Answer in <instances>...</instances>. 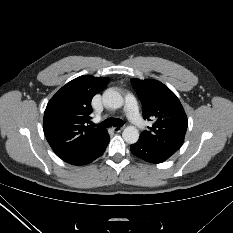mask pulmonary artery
Segmentation results:
<instances>
[{
  "label": "pulmonary artery",
  "mask_w": 233,
  "mask_h": 233,
  "mask_svg": "<svg viewBox=\"0 0 233 233\" xmlns=\"http://www.w3.org/2000/svg\"><path fill=\"white\" fill-rule=\"evenodd\" d=\"M125 110L133 125L136 127H142L144 125V121L139 113L138 105L134 97H126Z\"/></svg>",
  "instance_id": "1"
}]
</instances>
